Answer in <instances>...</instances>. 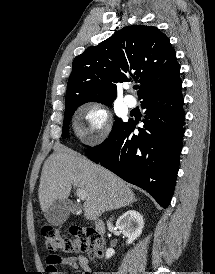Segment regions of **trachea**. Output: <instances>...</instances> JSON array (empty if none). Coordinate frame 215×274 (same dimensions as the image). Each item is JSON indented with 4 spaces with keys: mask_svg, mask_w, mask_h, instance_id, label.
I'll return each mask as SVG.
<instances>
[{
    "mask_svg": "<svg viewBox=\"0 0 215 274\" xmlns=\"http://www.w3.org/2000/svg\"><path fill=\"white\" fill-rule=\"evenodd\" d=\"M138 88H139V86H138V85L134 86V89H138Z\"/></svg>",
    "mask_w": 215,
    "mask_h": 274,
    "instance_id": "3493384b",
    "label": "trachea"
}]
</instances>
